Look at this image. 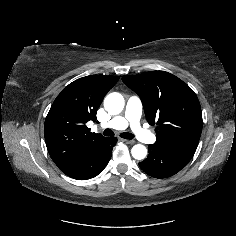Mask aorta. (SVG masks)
<instances>
[{"mask_svg": "<svg viewBox=\"0 0 236 236\" xmlns=\"http://www.w3.org/2000/svg\"><path fill=\"white\" fill-rule=\"evenodd\" d=\"M124 105L123 96L117 92L108 94L104 99V107L106 111L112 115L121 113ZM131 154L133 158L142 160L147 156V149L142 144H136L132 147Z\"/></svg>", "mask_w": 236, "mask_h": 236, "instance_id": "obj_1", "label": "aorta"}]
</instances>
